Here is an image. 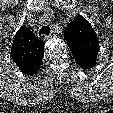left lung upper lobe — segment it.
I'll return each mask as SVG.
<instances>
[{
	"instance_id": "1",
	"label": "left lung upper lobe",
	"mask_w": 113,
	"mask_h": 113,
	"mask_svg": "<svg viewBox=\"0 0 113 113\" xmlns=\"http://www.w3.org/2000/svg\"><path fill=\"white\" fill-rule=\"evenodd\" d=\"M64 37L77 64L84 70L96 64L99 42L90 23L77 16L65 28Z\"/></svg>"
}]
</instances>
